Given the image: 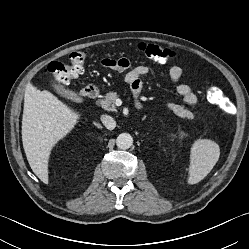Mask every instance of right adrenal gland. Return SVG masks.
I'll use <instances>...</instances> for the list:
<instances>
[{
  "instance_id": "1",
  "label": "right adrenal gland",
  "mask_w": 249,
  "mask_h": 249,
  "mask_svg": "<svg viewBox=\"0 0 249 249\" xmlns=\"http://www.w3.org/2000/svg\"><path fill=\"white\" fill-rule=\"evenodd\" d=\"M97 127H98V128H102V127H101L100 125H98V124H97Z\"/></svg>"
}]
</instances>
